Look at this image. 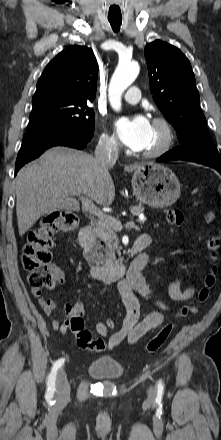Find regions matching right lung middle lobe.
<instances>
[{
	"instance_id": "right-lung-middle-lobe-1",
	"label": "right lung middle lobe",
	"mask_w": 221,
	"mask_h": 440,
	"mask_svg": "<svg viewBox=\"0 0 221 440\" xmlns=\"http://www.w3.org/2000/svg\"><path fill=\"white\" fill-rule=\"evenodd\" d=\"M95 114L86 103L42 102L33 104L27 133L54 130L91 138Z\"/></svg>"
}]
</instances>
